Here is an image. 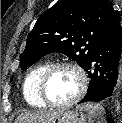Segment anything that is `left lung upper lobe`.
Instances as JSON below:
<instances>
[{
  "mask_svg": "<svg viewBox=\"0 0 122 123\" xmlns=\"http://www.w3.org/2000/svg\"><path fill=\"white\" fill-rule=\"evenodd\" d=\"M116 18L107 0H58L29 33L20 59L22 70L52 52L67 55L85 69L95 46Z\"/></svg>",
  "mask_w": 122,
  "mask_h": 123,
  "instance_id": "1",
  "label": "left lung upper lobe"
}]
</instances>
